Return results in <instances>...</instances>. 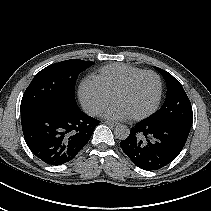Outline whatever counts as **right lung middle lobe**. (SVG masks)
<instances>
[{"instance_id":"obj_1","label":"right lung middle lobe","mask_w":211,"mask_h":211,"mask_svg":"<svg viewBox=\"0 0 211 211\" xmlns=\"http://www.w3.org/2000/svg\"><path fill=\"white\" fill-rule=\"evenodd\" d=\"M93 62L71 59L45 67L27 87L20 112L44 108L78 109L74 96L77 76Z\"/></svg>"}]
</instances>
